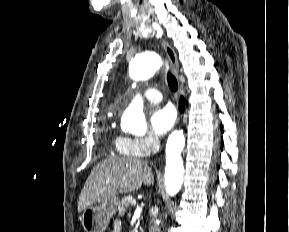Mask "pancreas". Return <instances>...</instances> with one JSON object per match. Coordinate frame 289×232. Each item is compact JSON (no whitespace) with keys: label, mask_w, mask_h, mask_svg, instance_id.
<instances>
[{"label":"pancreas","mask_w":289,"mask_h":232,"mask_svg":"<svg viewBox=\"0 0 289 232\" xmlns=\"http://www.w3.org/2000/svg\"><path fill=\"white\" fill-rule=\"evenodd\" d=\"M132 202V196H126L121 199L118 205V213L123 216L126 212V209L130 206Z\"/></svg>","instance_id":"obj_1"}]
</instances>
